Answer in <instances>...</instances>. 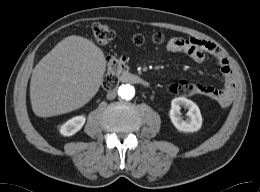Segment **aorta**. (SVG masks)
<instances>
[{"label": "aorta", "mask_w": 260, "mask_h": 192, "mask_svg": "<svg viewBox=\"0 0 260 192\" xmlns=\"http://www.w3.org/2000/svg\"><path fill=\"white\" fill-rule=\"evenodd\" d=\"M118 95L125 100H131L135 95V89L130 84H122L118 89Z\"/></svg>", "instance_id": "762f6f07"}]
</instances>
